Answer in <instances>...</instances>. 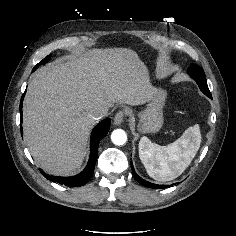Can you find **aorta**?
<instances>
[{
  "label": "aorta",
  "instance_id": "aorta-1",
  "mask_svg": "<svg viewBox=\"0 0 236 236\" xmlns=\"http://www.w3.org/2000/svg\"><path fill=\"white\" fill-rule=\"evenodd\" d=\"M111 140L115 145H123L127 141V135L124 130L116 129L111 134Z\"/></svg>",
  "mask_w": 236,
  "mask_h": 236
}]
</instances>
